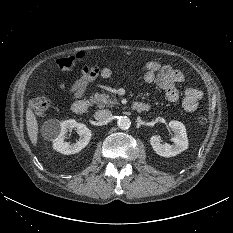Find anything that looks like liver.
<instances>
[{
  "label": "liver",
  "instance_id": "1",
  "mask_svg": "<svg viewBox=\"0 0 233 233\" xmlns=\"http://www.w3.org/2000/svg\"><path fill=\"white\" fill-rule=\"evenodd\" d=\"M26 126L28 131V136L33 145H36L38 138V123L36 116L30 107L26 110Z\"/></svg>",
  "mask_w": 233,
  "mask_h": 233
}]
</instances>
